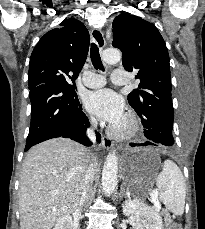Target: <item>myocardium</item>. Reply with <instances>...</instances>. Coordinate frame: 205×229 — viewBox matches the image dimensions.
<instances>
[{
	"label": "myocardium",
	"mask_w": 205,
	"mask_h": 229,
	"mask_svg": "<svg viewBox=\"0 0 205 229\" xmlns=\"http://www.w3.org/2000/svg\"><path fill=\"white\" fill-rule=\"evenodd\" d=\"M138 130V120L133 113H127L120 125L110 129V133L117 138H129Z\"/></svg>",
	"instance_id": "myocardium-1"
}]
</instances>
